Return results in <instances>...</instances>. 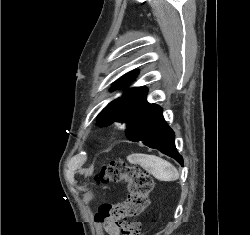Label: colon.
<instances>
[{"label":"colon","instance_id":"colon-1","mask_svg":"<svg viewBox=\"0 0 250 235\" xmlns=\"http://www.w3.org/2000/svg\"><path fill=\"white\" fill-rule=\"evenodd\" d=\"M99 184L124 182L127 197L123 203L103 204L96 214V221L103 225H116L121 235H140L141 224L135 220L149 204L153 181L149 174L128 165L122 160L103 166L96 176Z\"/></svg>","mask_w":250,"mask_h":235}]
</instances>
